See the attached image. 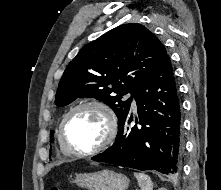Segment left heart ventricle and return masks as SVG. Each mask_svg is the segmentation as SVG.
Wrapping results in <instances>:
<instances>
[{
	"label": "left heart ventricle",
	"mask_w": 221,
	"mask_h": 190,
	"mask_svg": "<svg viewBox=\"0 0 221 190\" xmlns=\"http://www.w3.org/2000/svg\"><path fill=\"white\" fill-rule=\"evenodd\" d=\"M107 120L104 113L95 107H86L74 112L65 126V139L77 150H88L105 137Z\"/></svg>",
	"instance_id": "b2bd125f"
}]
</instances>
